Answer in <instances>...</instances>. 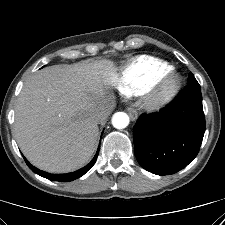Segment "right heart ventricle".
Returning a JSON list of instances; mask_svg holds the SVG:
<instances>
[{
    "label": "right heart ventricle",
    "instance_id": "e07e8e85",
    "mask_svg": "<svg viewBox=\"0 0 225 225\" xmlns=\"http://www.w3.org/2000/svg\"><path fill=\"white\" fill-rule=\"evenodd\" d=\"M171 70L172 66L166 61L149 55L139 56L122 70L119 89L125 95L140 94Z\"/></svg>",
    "mask_w": 225,
    "mask_h": 225
}]
</instances>
